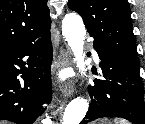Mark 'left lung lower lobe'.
<instances>
[{
    "mask_svg": "<svg viewBox=\"0 0 145 124\" xmlns=\"http://www.w3.org/2000/svg\"><path fill=\"white\" fill-rule=\"evenodd\" d=\"M101 59L105 80L95 79L89 86L91 105L80 124L97 118L121 117L134 124H145L144 87L139 75V63L104 51L94 43Z\"/></svg>",
    "mask_w": 145,
    "mask_h": 124,
    "instance_id": "left-lung-lower-lobe-1",
    "label": "left lung lower lobe"
}]
</instances>
